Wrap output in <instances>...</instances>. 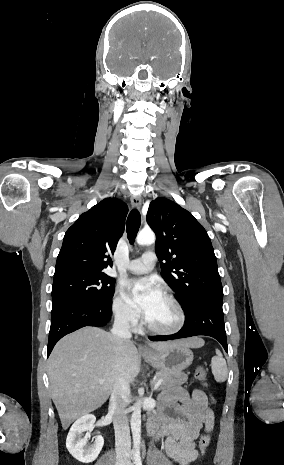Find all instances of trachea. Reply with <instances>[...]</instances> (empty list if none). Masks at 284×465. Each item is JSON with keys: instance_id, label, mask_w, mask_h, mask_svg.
<instances>
[{"instance_id": "obj_1", "label": "trachea", "mask_w": 284, "mask_h": 465, "mask_svg": "<svg viewBox=\"0 0 284 465\" xmlns=\"http://www.w3.org/2000/svg\"><path fill=\"white\" fill-rule=\"evenodd\" d=\"M140 225H141V216H140L139 211L136 208V209H133L129 213V216L126 222V231L128 235V240L131 244H133L135 241Z\"/></svg>"}]
</instances>
